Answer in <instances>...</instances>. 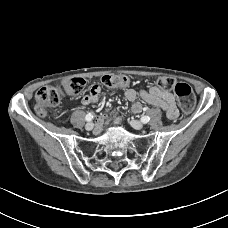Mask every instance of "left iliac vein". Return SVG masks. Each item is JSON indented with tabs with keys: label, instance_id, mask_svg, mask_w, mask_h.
Returning a JSON list of instances; mask_svg holds the SVG:
<instances>
[{
	"label": "left iliac vein",
	"instance_id": "obj_1",
	"mask_svg": "<svg viewBox=\"0 0 228 228\" xmlns=\"http://www.w3.org/2000/svg\"><path fill=\"white\" fill-rule=\"evenodd\" d=\"M130 125L136 130H141L144 127V125L141 122L136 120L130 121Z\"/></svg>",
	"mask_w": 228,
	"mask_h": 228
}]
</instances>
